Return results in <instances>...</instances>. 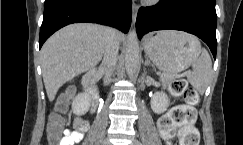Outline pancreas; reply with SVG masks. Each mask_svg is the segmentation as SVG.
<instances>
[{
	"mask_svg": "<svg viewBox=\"0 0 243 145\" xmlns=\"http://www.w3.org/2000/svg\"><path fill=\"white\" fill-rule=\"evenodd\" d=\"M172 79H173L172 76H169V75H163V76L161 77V80H162V83H163V84H168V83H170V81H171Z\"/></svg>",
	"mask_w": 243,
	"mask_h": 145,
	"instance_id": "pancreas-1",
	"label": "pancreas"
}]
</instances>
